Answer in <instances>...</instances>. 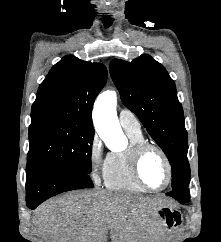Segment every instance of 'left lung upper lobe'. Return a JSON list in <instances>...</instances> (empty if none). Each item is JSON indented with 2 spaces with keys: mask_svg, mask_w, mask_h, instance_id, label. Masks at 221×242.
<instances>
[{
  "mask_svg": "<svg viewBox=\"0 0 221 242\" xmlns=\"http://www.w3.org/2000/svg\"><path fill=\"white\" fill-rule=\"evenodd\" d=\"M109 70L123 103L137 115L168 157L172 189L188 187L190 167L183 108L166 69L144 54L131 62L114 59Z\"/></svg>",
  "mask_w": 221,
  "mask_h": 242,
  "instance_id": "left-lung-upper-lobe-1",
  "label": "left lung upper lobe"
}]
</instances>
